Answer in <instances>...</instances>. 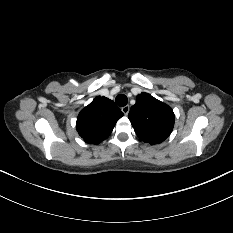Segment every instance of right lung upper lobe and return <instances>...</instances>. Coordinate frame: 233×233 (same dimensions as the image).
Masks as SVG:
<instances>
[{
	"instance_id": "cb5924a9",
	"label": "right lung upper lobe",
	"mask_w": 233,
	"mask_h": 233,
	"mask_svg": "<svg viewBox=\"0 0 233 233\" xmlns=\"http://www.w3.org/2000/svg\"><path fill=\"white\" fill-rule=\"evenodd\" d=\"M122 116L112 100L98 96L79 113L76 128L85 142L99 144L108 138Z\"/></svg>"
}]
</instances>
